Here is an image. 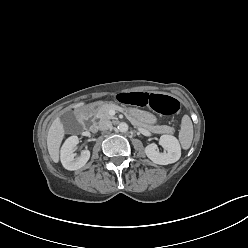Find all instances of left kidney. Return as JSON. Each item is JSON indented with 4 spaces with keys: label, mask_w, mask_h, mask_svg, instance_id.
Instances as JSON below:
<instances>
[{
    "label": "left kidney",
    "mask_w": 248,
    "mask_h": 248,
    "mask_svg": "<svg viewBox=\"0 0 248 248\" xmlns=\"http://www.w3.org/2000/svg\"><path fill=\"white\" fill-rule=\"evenodd\" d=\"M159 144L166 150L164 153L159 152L158 146L155 143L145 147V153L151 161L160 165H168L180 159V144L174 136L162 135Z\"/></svg>",
    "instance_id": "left-kidney-1"
}]
</instances>
